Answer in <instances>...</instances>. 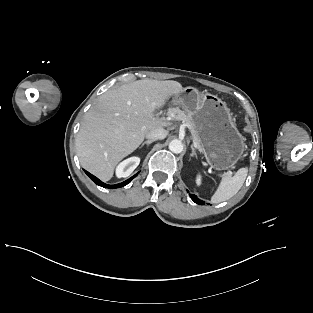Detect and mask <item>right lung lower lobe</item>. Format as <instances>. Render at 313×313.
<instances>
[{
  "mask_svg": "<svg viewBox=\"0 0 313 313\" xmlns=\"http://www.w3.org/2000/svg\"><path fill=\"white\" fill-rule=\"evenodd\" d=\"M85 171V170H84ZM85 173L91 178V180L96 183L97 185L101 186V187H104V188H110V189H115V188H120V187H123L125 185H127L136 175H134L133 177L129 178L128 180L122 182V183H119V184H115V185H109V184H106L102 181H100L97 177H95L94 175L90 174L88 171H85Z\"/></svg>",
  "mask_w": 313,
  "mask_h": 313,
  "instance_id": "98d812e1",
  "label": "right lung lower lobe"
}]
</instances>
